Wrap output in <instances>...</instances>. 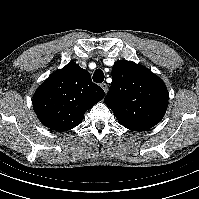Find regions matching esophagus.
I'll use <instances>...</instances> for the list:
<instances>
[{"label": "esophagus", "instance_id": "34e87169", "mask_svg": "<svg viewBox=\"0 0 199 199\" xmlns=\"http://www.w3.org/2000/svg\"><path fill=\"white\" fill-rule=\"evenodd\" d=\"M100 86H101V88L104 90V92L106 93L107 90H108V85H107V83L103 82V83L100 84Z\"/></svg>", "mask_w": 199, "mask_h": 199}]
</instances>
